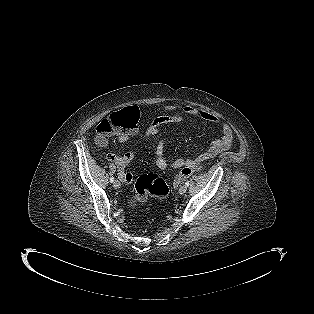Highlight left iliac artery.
I'll return each instance as SVG.
<instances>
[{"instance_id": "left-iliac-artery-1", "label": "left iliac artery", "mask_w": 314, "mask_h": 314, "mask_svg": "<svg viewBox=\"0 0 314 314\" xmlns=\"http://www.w3.org/2000/svg\"><path fill=\"white\" fill-rule=\"evenodd\" d=\"M185 185L188 187L190 185V181H187Z\"/></svg>"}]
</instances>
